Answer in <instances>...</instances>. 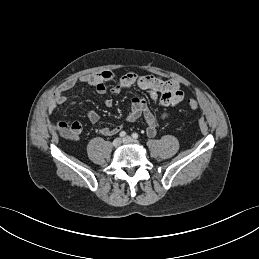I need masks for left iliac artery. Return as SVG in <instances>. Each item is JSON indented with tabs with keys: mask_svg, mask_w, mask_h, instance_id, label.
Returning <instances> with one entry per match:
<instances>
[{
	"mask_svg": "<svg viewBox=\"0 0 259 259\" xmlns=\"http://www.w3.org/2000/svg\"><path fill=\"white\" fill-rule=\"evenodd\" d=\"M132 137H133L134 139H137V138H138V134H137V133H133V134H132Z\"/></svg>",
	"mask_w": 259,
	"mask_h": 259,
	"instance_id": "left-iliac-artery-1",
	"label": "left iliac artery"
}]
</instances>
